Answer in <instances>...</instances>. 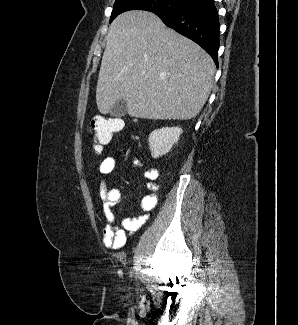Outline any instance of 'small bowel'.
<instances>
[{
    "label": "small bowel",
    "instance_id": "c3829d8e",
    "mask_svg": "<svg viewBox=\"0 0 298 325\" xmlns=\"http://www.w3.org/2000/svg\"><path fill=\"white\" fill-rule=\"evenodd\" d=\"M116 166V159L113 156L105 157L99 164L97 176L104 178L111 174ZM159 172L156 168H148L145 171V187L151 192L143 197L141 201V211L143 214L139 217H126L122 219L121 225L116 223V215L113 207L120 202L122 193L117 188H108L104 183L101 184L99 195L102 201L103 214L106 224L103 229V243L107 248L113 250L121 249L127 240V236L133 235L148 220L149 214L157 204L155 192L158 190Z\"/></svg>",
    "mask_w": 298,
    "mask_h": 325
}]
</instances>
